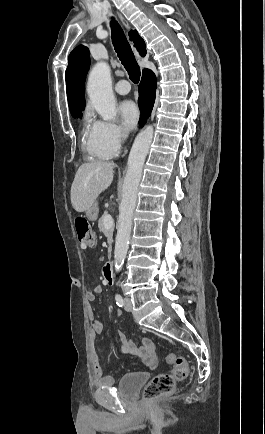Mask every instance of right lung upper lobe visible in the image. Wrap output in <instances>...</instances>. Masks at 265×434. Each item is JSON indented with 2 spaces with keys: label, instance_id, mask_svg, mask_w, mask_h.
I'll return each mask as SVG.
<instances>
[{
  "label": "right lung upper lobe",
  "instance_id": "1",
  "mask_svg": "<svg viewBox=\"0 0 265 434\" xmlns=\"http://www.w3.org/2000/svg\"><path fill=\"white\" fill-rule=\"evenodd\" d=\"M128 34L140 55L144 56L146 48L143 39L138 35L136 30H131ZM89 55L88 48L83 45L77 46L69 55L68 67L65 74L69 105L85 102L84 81L90 67Z\"/></svg>",
  "mask_w": 265,
  "mask_h": 434
}]
</instances>
